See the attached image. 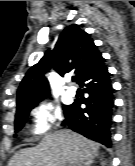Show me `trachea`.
<instances>
[{"mask_svg":"<svg viewBox=\"0 0 135 166\" xmlns=\"http://www.w3.org/2000/svg\"><path fill=\"white\" fill-rule=\"evenodd\" d=\"M72 81H73V82L76 81V77H75V76L72 77Z\"/></svg>","mask_w":135,"mask_h":166,"instance_id":"trachea-1","label":"trachea"}]
</instances>
